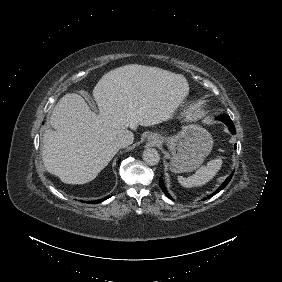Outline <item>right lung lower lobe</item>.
<instances>
[{
  "label": "right lung lower lobe",
  "instance_id": "1",
  "mask_svg": "<svg viewBox=\"0 0 282 282\" xmlns=\"http://www.w3.org/2000/svg\"><path fill=\"white\" fill-rule=\"evenodd\" d=\"M110 197L111 196L109 195V196L105 197L104 199H100V200H96V201H91V202H86V203L97 204V203L102 202L103 200H106L107 198H110Z\"/></svg>",
  "mask_w": 282,
  "mask_h": 282
}]
</instances>
